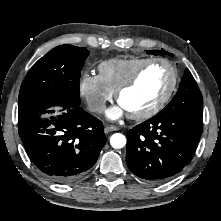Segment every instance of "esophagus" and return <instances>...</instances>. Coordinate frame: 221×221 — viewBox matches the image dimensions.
Returning a JSON list of instances; mask_svg holds the SVG:
<instances>
[{"mask_svg": "<svg viewBox=\"0 0 221 221\" xmlns=\"http://www.w3.org/2000/svg\"><path fill=\"white\" fill-rule=\"evenodd\" d=\"M104 130H105V133H109V132L117 131L118 127H116V126H106Z\"/></svg>", "mask_w": 221, "mask_h": 221, "instance_id": "esophagus-1", "label": "esophagus"}]
</instances>
